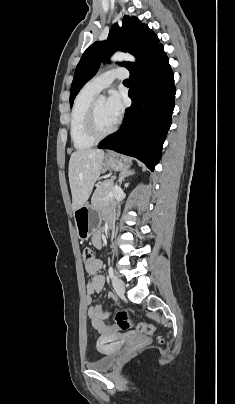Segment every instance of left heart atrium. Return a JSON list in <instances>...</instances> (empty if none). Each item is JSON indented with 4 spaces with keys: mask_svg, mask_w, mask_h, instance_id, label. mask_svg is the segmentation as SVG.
Listing matches in <instances>:
<instances>
[{
    "mask_svg": "<svg viewBox=\"0 0 235 404\" xmlns=\"http://www.w3.org/2000/svg\"><path fill=\"white\" fill-rule=\"evenodd\" d=\"M124 105L122 96L113 91L110 93L106 103L105 110L110 120L115 124L123 113Z\"/></svg>",
    "mask_w": 235,
    "mask_h": 404,
    "instance_id": "left-heart-atrium-1",
    "label": "left heart atrium"
}]
</instances>
